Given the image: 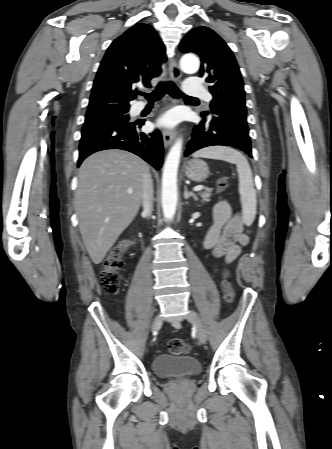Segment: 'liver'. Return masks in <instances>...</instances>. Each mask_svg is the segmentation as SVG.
Masks as SVG:
<instances>
[{
  "mask_svg": "<svg viewBox=\"0 0 332 449\" xmlns=\"http://www.w3.org/2000/svg\"><path fill=\"white\" fill-rule=\"evenodd\" d=\"M147 170L141 158L117 149L94 153L81 164L75 209L83 242L94 264L102 262L137 215Z\"/></svg>",
  "mask_w": 332,
  "mask_h": 449,
  "instance_id": "liver-1",
  "label": "liver"
}]
</instances>
